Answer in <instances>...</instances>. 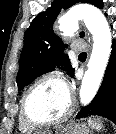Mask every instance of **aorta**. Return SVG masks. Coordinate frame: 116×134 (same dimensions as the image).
I'll list each match as a JSON object with an SVG mask.
<instances>
[{"mask_svg":"<svg viewBox=\"0 0 116 134\" xmlns=\"http://www.w3.org/2000/svg\"><path fill=\"white\" fill-rule=\"evenodd\" d=\"M83 20L93 36V49L85 71L81 88L80 101L82 105L89 104L96 95L111 53V31L105 16L91 5L72 7L58 21L59 29L65 31L74 29L78 21Z\"/></svg>","mask_w":116,"mask_h":134,"instance_id":"aorta-1","label":"aorta"}]
</instances>
